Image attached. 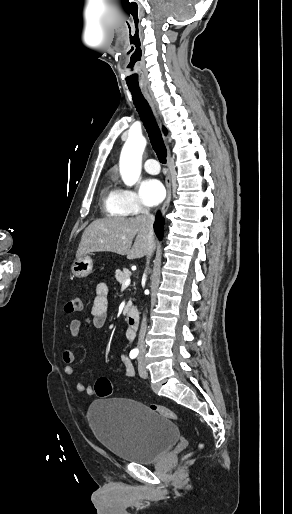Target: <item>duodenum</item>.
Listing matches in <instances>:
<instances>
[{
	"label": "duodenum",
	"mask_w": 292,
	"mask_h": 514,
	"mask_svg": "<svg viewBox=\"0 0 292 514\" xmlns=\"http://www.w3.org/2000/svg\"><path fill=\"white\" fill-rule=\"evenodd\" d=\"M128 316V328L130 332L135 331V329L138 327V321H139V312L137 308L132 307L127 312Z\"/></svg>",
	"instance_id": "duodenum-1"
}]
</instances>
